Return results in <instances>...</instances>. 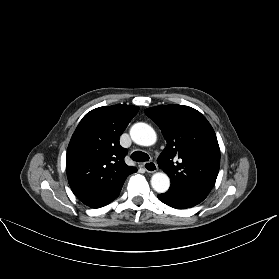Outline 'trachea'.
Segmentation results:
<instances>
[{"instance_id":"3493384b","label":"trachea","mask_w":279,"mask_h":279,"mask_svg":"<svg viewBox=\"0 0 279 279\" xmlns=\"http://www.w3.org/2000/svg\"><path fill=\"white\" fill-rule=\"evenodd\" d=\"M131 158L136 161V162H145L148 161L149 156L145 152L142 151H135L132 155Z\"/></svg>"}]
</instances>
